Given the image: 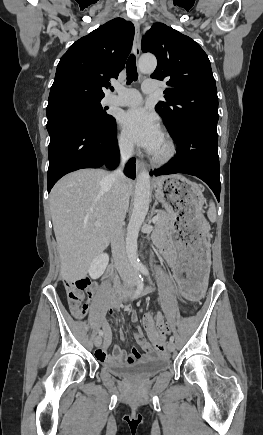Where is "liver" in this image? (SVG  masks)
<instances>
[{"label":"liver","instance_id":"6515ba94","mask_svg":"<svg viewBox=\"0 0 263 435\" xmlns=\"http://www.w3.org/2000/svg\"><path fill=\"white\" fill-rule=\"evenodd\" d=\"M100 169H84L59 180L50 193L61 275L74 282L87 275L92 260L111 241L112 183ZM129 194L133 183L126 179ZM99 222L100 226L95 223Z\"/></svg>","mask_w":263,"mask_h":435}]
</instances>
